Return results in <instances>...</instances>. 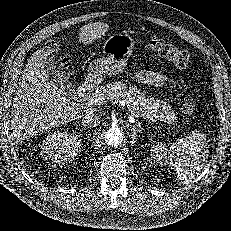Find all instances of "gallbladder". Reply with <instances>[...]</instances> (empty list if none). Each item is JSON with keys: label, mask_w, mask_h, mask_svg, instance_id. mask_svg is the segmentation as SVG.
<instances>
[{"label": "gallbladder", "mask_w": 231, "mask_h": 231, "mask_svg": "<svg viewBox=\"0 0 231 231\" xmlns=\"http://www.w3.org/2000/svg\"><path fill=\"white\" fill-rule=\"evenodd\" d=\"M46 71L50 81H52L67 97H76L77 92L74 85L69 82L68 77L65 76L54 63H48L46 65Z\"/></svg>", "instance_id": "gallbladder-1"}]
</instances>
